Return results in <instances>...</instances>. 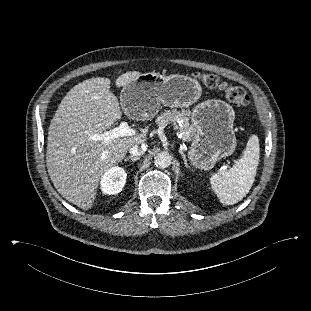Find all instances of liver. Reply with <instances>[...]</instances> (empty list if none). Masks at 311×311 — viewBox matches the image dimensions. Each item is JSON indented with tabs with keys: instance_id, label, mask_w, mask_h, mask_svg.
<instances>
[{
	"instance_id": "liver-1",
	"label": "liver",
	"mask_w": 311,
	"mask_h": 311,
	"mask_svg": "<svg viewBox=\"0 0 311 311\" xmlns=\"http://www.w3.org/2000/svg\"><path fill=\"white\" fill-rule=\"evenodd\" d=\"M140 75L139 71L126 72L115 84L124 87ZM110 83L109 78L96 77L75 85L62 99L48 131L46 165L51 181L67 201L86 210L93 205L103 174L118 164L131 147L147 139L144 132L108 143L91 139L122 116Z\"/></svg>"
}]
</instances>
